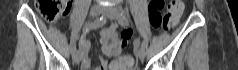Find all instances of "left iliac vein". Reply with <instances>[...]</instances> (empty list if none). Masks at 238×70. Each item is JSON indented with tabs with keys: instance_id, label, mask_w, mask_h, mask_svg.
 <instances>
[{
	"instance_id": "1",
	"label": "left iliac vein",
	"mask_w": 238,
	"mask_h": 70,
	"mask_svg": "<svg viewBox=\"0 0 238 70\" xmlns=\"http://www.w3.org/2000/svg\"><path fill=\"white\" fill-rule=\"evenodd\" d=\"M102 13L111 20H117L120 17V11L117 7L109 6L102 10ZM137 56L140 60H143L145 57V50H142L141 47L137 49Z\"/></svg>"
}]
</instances>
